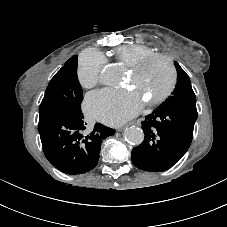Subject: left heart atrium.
<instances>
[{"label":"left heart atrium","instance_id":"obj_1","mask_svg":"<svg viewBox=\"0 0 227 227\" xmlns=\"http://www.w3.org/2000/svg\"><path fill=\"white\" fill-rule=\"evenodd\" d=\"M143 105V98L135 92L103 89L89 93L84 107L91 117L109 125H119L138 114Z\"/></svg>","mask_w":227,"mask_h":227}]
</instances>
